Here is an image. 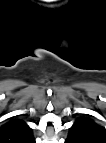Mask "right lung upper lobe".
Listing matches in <instances>:
<instances>
[{
    "mask_svg": "<svg viewBox=\"0 0 106 143\" xmlns=\"http://www.w3.org/2000/svg\"><path fill=\"white\" fill-rule=\"evenodd\" d=\"M32 138L31 128L22 120L0 126V143H28Z\"/></svg>",
    "mask_w": 106,
    "mask_h": 143,
    "instance_id": "cb5924a9",
    "label": "right lung upper lobe"
}]
</instances>
